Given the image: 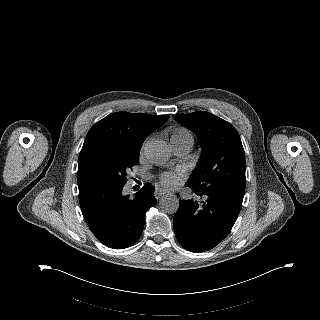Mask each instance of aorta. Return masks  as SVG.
Wrapping results in <instances>:
<instances>
[{
	"instance_id": "762f6f07",
	"label": "aorta",
	"mask_w": 320,
	"mask_h": 320,
	"mask_svg": "<svg viewBox=\"0 0 320 320\" xmlns=\"http://www.w3.org/2000/svg\"><path fill=\"white\" fill-rule=\"evenodd\" d=\"M145 155L150 162L157 166H162L171 156L167 143L161 140H154L145 146ZM160 208L166 213H175L179 207V200L173 194H166L160 199Z\"/></svg>"
}]
</instances>
